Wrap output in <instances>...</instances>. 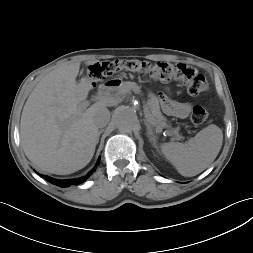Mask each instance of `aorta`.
Wrapping results in <instances>:
<instances>
[{"instance_id": "obj_1", "label": "aorta", "mask_w": 253, "mask_h": 253, "mask_svg": "<svg viewBox=\"0 0 253 253\" xmlns=\"http://www.w3.org/2000/svg\"><path fill=\"white\" fill-rule=\"evenodd\" d=\"M117 127L124 130L132 129L137 122V115L131 107H121L115 112Z\"/></svg>"}]
</instances>
